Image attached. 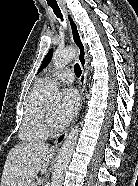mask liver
Here are the masks:
<instances>
[{"instance_id": "obj_1", "label": "liver", "mask_w": 138, "mask_h": 186, "mask_svg": "<svg viewBox=\"0 0 138 186\" xmlns=\"http://www.w3.org/2000/svg\"><path fill=\"white\" fill-rule=\"evenodd\" d=\"M53 155V150L44 143L14 146L5 161L1 186H30L40 171H46Z\"/></svg>"}]
</instances>
